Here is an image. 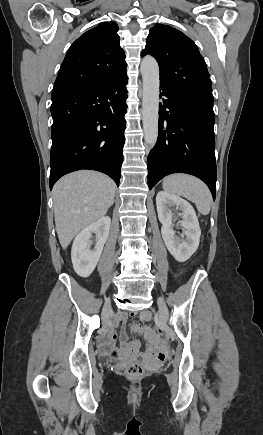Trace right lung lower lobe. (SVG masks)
<instances>
[{"instance_id": "right-lung-lower-lobe-1", "label": "right lung lower lobe", "mask_w": 263, "mask_h": 435, "mask_svg": "<svg viewBox=\"0 0 263 435\" xmlns=\"http://www.w3.org/2000/svg\"><path fill=\"white\" fill-rule=\"evenodd\" d=\"M127 74L52 98L50 189L63 175L91 169L117 185L123 162Z\"/></svg>"}]
</instances>
